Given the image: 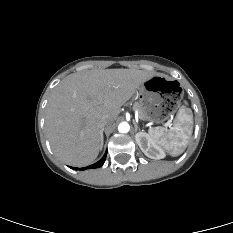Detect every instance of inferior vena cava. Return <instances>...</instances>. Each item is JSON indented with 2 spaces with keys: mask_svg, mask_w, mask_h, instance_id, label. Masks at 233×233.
<instances>
[{
  "mask_svg": "<svg viewBox=\"0 0 233 233\" xmlns=\"http://www.w3.org/2000/svg\"><path fill=\"white\" fill-rule=\"evenodd\" d=\"M110 125V121L107 118L102 117L99 121H98V126L104 130V128L106 126Z\"/></svg>",
  "mask_w": 233,
  "mask_h": 233,
  "instance_id": "inferior-vena-cava-1",
  "label": "inferior vena cava"
}]
</instances>
